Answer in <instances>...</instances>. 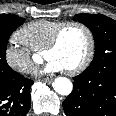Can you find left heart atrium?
Returning <instances> with one entry per match:
<instances>
[{"label": "left heart atrium", "mask_w": 116, "mask_h": 116, "mask_svg": "<svg viewBox=\"0 0 116 116\" xmlns=\"http://www.w3.org/2000/svg\"><path fill=\"white\" fill-rule=\"evenodd\" d=\"M64 70V66L60 62L54 59H47L46 64L44 65L43 69L39 72V74H52Z\"/></svg>", "instance_id": "obj_1"}]
</instances>
